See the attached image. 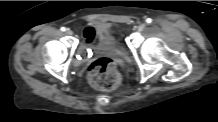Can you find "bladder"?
Listing matches in <instances>:
<instances>
[{
	"label": "bladder",
	"instance_id": "31cf9c89",
	"mask_svg": "<svg viewBox=\"0 0 218 122\" xmlns=\"http://www.w3.org/2000/svg\"><path fill=\"white\" fill-rule=\"evenodd\" d=\"M96 42L85 43L98 51H113L126 55V50L119 46L116 36L105 26L97 27Z\"/></svg>",
	"mask_w": 218,
	"mask_h": 122
}]
</instances>
